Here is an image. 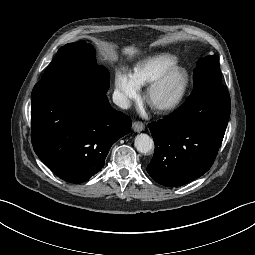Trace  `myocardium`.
<instances>
[{"instance_id":"obj_1","label":"myocardium","mask_w":255,"mask_h":255,"mask_svg":"<svg viewBox=\"0 0 255 255\" xmlns=\"http://www.w3.org/2000/svg\"><path fill=\"white\" fill-rule=\"evenodd\" d=\"M174 74H179L182 77V83L177 92L168 100L153 105L150 102L151 96L161 88L164 83ZM190 84V76L188 71L179 65H174L164 71L158 78L149 84L144 94V101L156 112L163 113L168 112L178 107L184 100Z\"/></svg>"}]
</instances>
